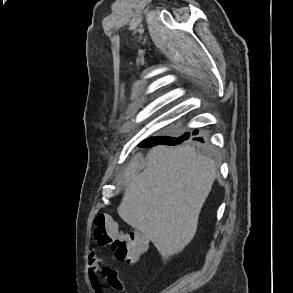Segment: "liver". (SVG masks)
I'll return each mask as SVG.
<instances>
[{"label":"liver","mask_w":293,"mask_h":293,"mask_svg":"<svg viewBox=\"0 0 293 293\" xmlns=\"http://www.w3.org/2000/svg\"><path fill=\"white\" fill-rule=\"evenodd\" d=\"M136 154L124 172L125 193L118 212L152 241L163 257L181 252L193 239L216 175L209 157L189 145L156 146L140 172Z\"/></svg>","instance_id":"1"}]
</instances>
